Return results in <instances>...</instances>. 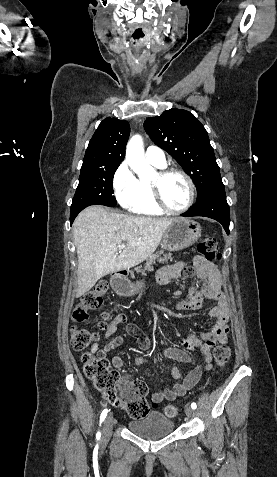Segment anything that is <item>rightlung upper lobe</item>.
I'll list each match as a JSON object with an SVG mask.
<instances>
[{"mask_svg": "<svg viewBox=\"0 0 277 477\" xmlns=\"http://www.w3.org/2000/svg\"><path fill=\"white\" fill-rule=\"evenodd\" d=\"M130 134L127 121L106 118L98 126L87 147L81 171L120 165Z\"/></svg>", "mask_w": 277, "mask_h": 477, "instance_id": "1", "label": "right lung upper lobe"}]
</instances>
